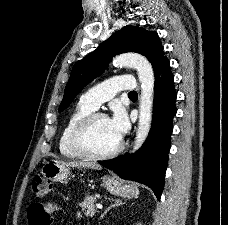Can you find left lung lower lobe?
<instances>
[{
	"instance_id": "1",
	"label": "left lung lower lobe",
	"mask_w": 228,
	"mask_h": 225,
	"mask_svg": "<svg viewBox=\"0 0 228 225\" xmlns=\"http://www.w3.org/2000/svg\"><path fill=\"white\" fill-rule=\"evenodd\" d=\"M155 87L152 126L143 146L135 154L98 161L123 179L150 187L160 200L170 150L172 119L176 115L174 77L165 57L154 69Z\"/></svg>"
}]
</instances>
